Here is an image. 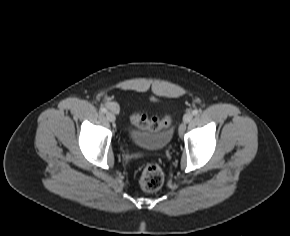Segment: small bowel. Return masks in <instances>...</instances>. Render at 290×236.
<instances>
[{
	"label": "small bowel",
	"instance_id": "obj_1",
	"mask_svg": "<svg viewBox=\"0 0 290 236\" xmlns=\"http://www.w3.org/2000/svg\"><path fill=\"white\" fill-rule=\"evenodd\" d=\"M107 106H108L111 110H113V111H115V112H117V110H118L117 105L114 104V103L108 102V103H107Z\"/></svg>",
	"mask_w": 290,
	"mask_h": 236
}]
</instances>
